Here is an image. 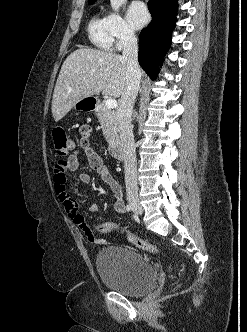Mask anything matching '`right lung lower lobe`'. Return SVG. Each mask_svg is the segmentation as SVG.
<instances>
[{"instance_id": "right-lung-lower-lobe-1", "label": "right lung lower lobe", "mask_w": 247, "mask_h": 332, "mask_svg": "<svg viewBox=\"0 0 247 332\" xmlns=\"http://www.w3.org/2000/svg\"><path fill=\"white\" fill-rule=\"evenodd\" d=\"M148 9L152 15L150 24L139 36L138 60L141 67L156 79L159 65L171 44V33L175 28L178 0H149Z\"/></svg>"}]
</instances>
